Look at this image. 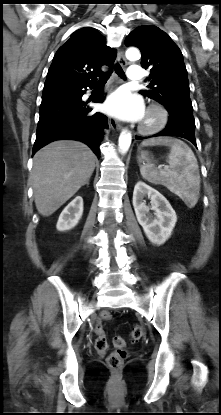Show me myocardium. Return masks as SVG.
Here are the masks:
<instances>
[{
  "instance_id": "myocardium-1",
  "label": "myocardium",
  "mask_w": 221,
  "mask_h": 415,
  "mask_svg": "<svg viewBox=\"0 0 221 415\" xmlns=\"http://www.w3.org/2000/svg\"><path fill=\"white\" fill-rule=\"evenodd\" d=\"M145 115H152L150 121L143 119L139 126V130L143 134H154L162 130L169 119L168 111L164 106L158 103H152L148 106Z\"/></svg>"
}]
</instances>
